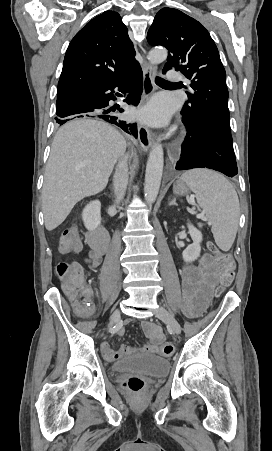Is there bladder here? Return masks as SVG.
<instances>
[{"mask_svg":"<svg viewBox=\"0 0 272 451\" xmlns=\"http://www.w3.org/2000/svg\"><path fill=\"white\" fill-rule=\"evenodd\" d=\"M168 367V359L155 354H130L112 363L111 370L115 374L132 371L153 377H163L168 374Z\"/></svg>","mask_w":272,"mask_h":451,"instance_id":"bladder-1","label":"bladder"}]
</instances>
